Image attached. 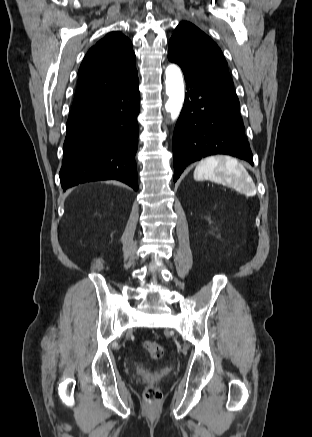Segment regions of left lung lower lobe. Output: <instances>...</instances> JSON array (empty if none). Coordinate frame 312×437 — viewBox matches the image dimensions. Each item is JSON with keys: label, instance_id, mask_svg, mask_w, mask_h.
Masks as SVG:
<instances>
[{"label": "left lung lower lobe", "instance_id": "obj_1", "mask_svg": "<svg viewBox=\"0 0 312 437\" xmlns=\"http://www.w3.org/2000/svg\"><path fill=\"white\" fill-rule=\"evenodd\" d=\"M183 73L187 92L173 135L174 182L188 164L209 155L227 154L253 165L240 103Z\"/></svg>", "mask_w": 312, "mask_h": 437}]
</instances>
